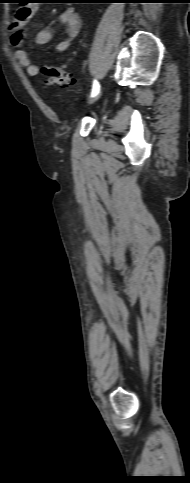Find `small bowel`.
Returning <instances> with one entry per match:
<instances>
[{
  "label": "small bowel",
  "instance_id": "obj_1",
  "mask_svg": "<svg viewBox=\"0 0 190 483\" xmlns=\"http://www.w3.org/2000/svg\"><path fill=\"white\" fill-rule=\"evenodd\" d=\"M36 9V6L33 5H22L10 19V43L16 48L14 57L18 64L26 69L29 76H37L39 67L31 61L28 52L23 48V39L28 21L34 16ZM59 21L65 28V36L55 45L54 53H62L67 50L81 28L80 17L73 8L64 10ZM54 33L55 30L52 28L42 29L37 32L35 42L39 45L47 44L52 40Z\"/></svg>",
  "mask_w": 190,
  "mask_h": 483
}]
</instances>
